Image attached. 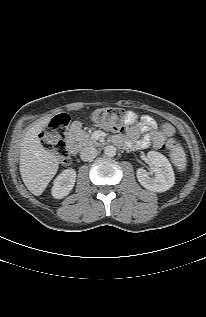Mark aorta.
I'll use <instances>...</instances> for the list:
<instances>
[{
	"label": "aorta",
	"instance_id": "obj_1",
	"mask_svg": "<svg viewBox=\"0 0 206 317\" xmlns=\"http://www.w3.org/2000/svg\"><path fill=\"white\" fill-rule=\"evenodd\" d=\"M117 149L113 145H108L104 148V154L108 157H113L116 155Z\"/></svg>",
	"mask_w": 206,
	"mask_h": 317
}]
</instances>
